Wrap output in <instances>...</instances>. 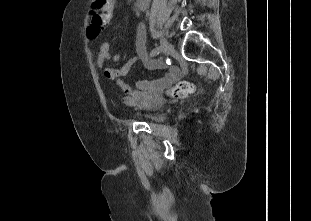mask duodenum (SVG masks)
I'll return each mask as SVG.
<instances>
[{
	"mask_svg": "<svg viewBox=\"0 0 311 221\" xmlns=\"http://www.w3.org/2000/svg\"><path fill=\"white\" fill-rule=\"evenodd\" d=\"M150 3V0H136L135 6L137 10L144 9L148 4Z\"/></svg>",
	"mask_w": 311,
	"mask_h": 221,
	"instance_id": "duodenum-1",
	"label": "duodenum"
}]
</instances>
